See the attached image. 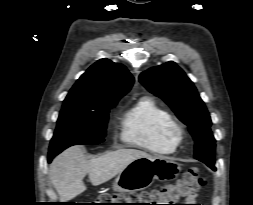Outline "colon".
Instances as JSON below:
<instances>
[{"label":"colon","instance_id":"colon-1","mask_svg":"<svg viewBox=\"0 0 253 205\" xmlns=\"http://www.w3.org/2000/svg\"><path fill=\"white\" fill-rule=\"evenodd\" d=\"M205 181L197 168L188 170L175 183L160 188L133 194H103L98 205H179L181 199H188L204 185Z\"/></svg>","mask_w":253,"mask_h":205}]
</instances>
